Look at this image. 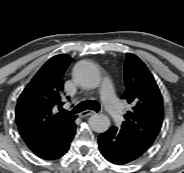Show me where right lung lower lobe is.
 <instances>
[{
    "label": "right lung lower lobe",
    "mask_w": 184,
    "mask_h": 173,
    "mask_svg": "<svg viewBox=\"0 0 184 173\" xmlns=\"http://www.w3.org/2000/svg\"><path fill=\"white\" fill-rule=\"evenodd\" d=\"M75 132L76 125L73 123L57 133L28 146L35 155L42 159L56 160L67 153Z\"/></svg>",
    "instance_id": "obj_1"
}]
</instances>
